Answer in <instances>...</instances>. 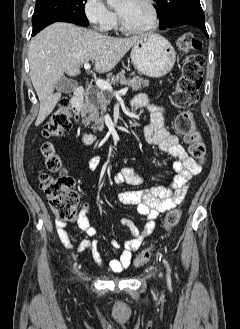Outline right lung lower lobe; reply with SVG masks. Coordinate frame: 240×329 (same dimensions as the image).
I'll return each instance as SVG.
<instances>
[{
	"instance_id": "obj_1",
	"label": "right lung lower lobe",
	"mask_w": 240,
	"mask_h": 329,
	"mask_svg": "<svg viewBox=\"0 0 240 329\" xmlns=\"http://www.w3.org/2000/svg\"><path fill=\"white\" fill-rule=\"evenodd\" d=\"M54 22H56V20H45V21H40V22L36 23L35 25H33L32 35L34 36L40 30H42L43 28H45L46 26H48ZM75 24H78V23H75Z\"/></svg>"
}]
</instances>
